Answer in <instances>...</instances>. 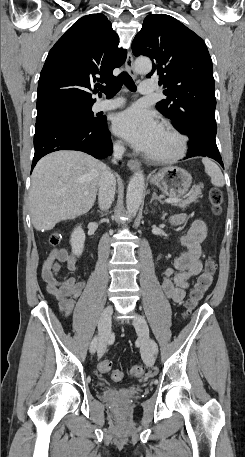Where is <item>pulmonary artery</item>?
<instances>
[{"instance_id":"pulmonary-artery-1","label":"pulmonary artery","mask_w":245,"mask_h":457,"mask_svg":"<svg viewBox=\"0 0 245 457\" xmlns=\"http://www.w3.org/2000/svg\"><path fill=\"white\" fill-rule=\"evenodd\" d=\"M138 94L139 95H156L157 87L155 80H139L138 82ZM123 103V99H111V100H98L94 106V112H100L104 110L115 109Z\"/></svg>"}]
</instances>
